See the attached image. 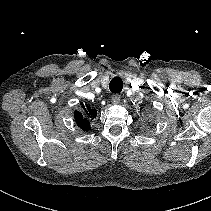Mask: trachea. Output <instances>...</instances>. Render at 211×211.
<instances>
[{
  "mask_svg": "<svg viewBox=\"0 0 211 211\" xmlns=\"http://www.w3.org/2000/svg\"><path fill=\"white\" fill-rule=\"evenodd\" d=\"M109 88L112 93H120L123 88V82L120 77H114L110 83Z\"/></svg>",
  "mask_w": 211,
  "mask_h": 211,
  "instance_id": "1",
  "label": "trachea"
}]
</instances>
